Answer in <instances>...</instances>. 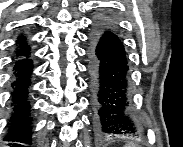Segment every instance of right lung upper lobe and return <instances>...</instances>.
Masks as SVG:
<instances>
[{
	"label": "right lung upper lobe",
	"instance_id": "1",
	"mask_svg": "<svg viewBox=\"0 0 183 147\" xmlns=\"http://www.w3.org/2000/svg\"><path fill=\"white\" fill-rule=\"evenodd\" d=\"M25 37H20L18 44H20L19 49L16 52L17 56H26L29 54V47L27 44L24 42Z\"/></svg>",
	"mask_w": 183,
	"mask_h": 147
}]
</instances>
